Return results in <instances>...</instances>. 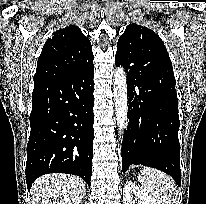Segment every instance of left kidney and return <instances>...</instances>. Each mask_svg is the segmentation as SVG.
<instances>
[{"instance_id": "left-kidney-1", "label": "left kidney", "mask_w": 206, "mask_h": 204, "mask_svg": "<svg viewBox=\"0 0 206 204\" xmlns=\"http://www.w3.org/2000/svg\"><path fill=\"white\" fill-rule=\"evenodd\" d=\"M134 199L138 200V204H156L142 188L127 181L123 188V204H135Z\"/></svg>"}]
</instances>
